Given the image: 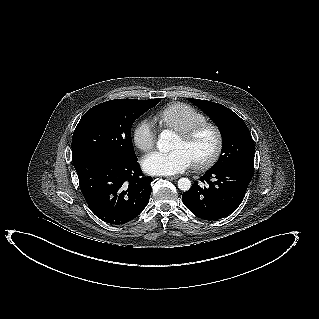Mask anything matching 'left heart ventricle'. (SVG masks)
I'll return each instance as SVG.
<instances>
[{"label": "left heart ventricle", "mask_w": 319, "mask_h": 319, "mask_svg": "<svg viewBox=\"0 0 319 319\" xmlns=\"http://www.w3.org/2000/svg\"><path fill=\"white\" fill-rule=\"evenodd\" d=\"M214 147V136L211 131L204 130L190 141L183 140L177 135L172 149L181 148L187 152L192 162L203 160L209 156Z\"/></svg>", "instance_id": "obj_1"}]
</instances>
